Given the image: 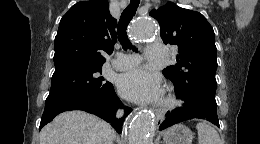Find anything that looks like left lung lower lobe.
Here are the masks:
<instances>
[{"instance_id":"1","label":"left lung lower lobe","mask_w":260,"mask_h":144,"mask_svg":"<svg viewBox=\"0 0 260 144\" xmlns=\"http://www.w3.org/2000/svg\"><path fill=\"white\" fill-rule=\"evenodd\" d=\"M196 118L208 120L219 126L216 102L196 100L192 105L176 108L172 112H168L167 118L160 125V129L163 130L177 123Z\"/></svg>"}]
</instances>
